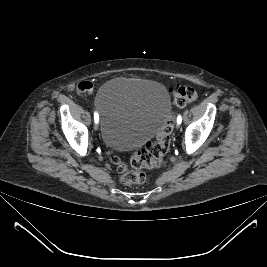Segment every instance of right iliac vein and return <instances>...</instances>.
I'll use <instances>...</instances> for the list:
<instances>
[{
    "label": "right iliac vein",
    "mask_w": 267,
    "mask_h": 267,
    "mask_svg": "<svg viewBox=\"0 0 267 267\" xmlns=\"http://www.w3.org/2000/svg\"><path fill=\"white\" fill-rule=\"evenodd\" d=\"M94 129H95V130H98V129H99V126H98L97 123H95V125H94Z\"/></svg>",
    "instance_id": "right-iliac-vein-1"
}]
</instances>
